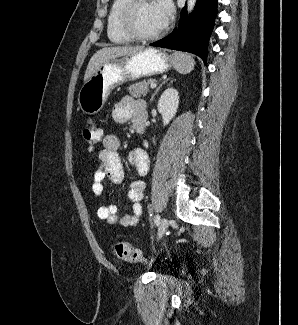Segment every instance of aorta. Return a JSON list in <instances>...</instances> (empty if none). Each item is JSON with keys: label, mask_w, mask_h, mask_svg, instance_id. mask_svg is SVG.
Here are the masks:
<instances>
[{"label": "aorta", "mask_w": 298, "mask_h": 325, "mask_svg": "<svg viewBox=\"0 0 298 325\" xmlns=\"http://www.w3.org/2000/svg\"><path fill=\"white\" fill-rule=\"evenodd\" d=\"M197 0H187V8H186V18L190 16L192 10H194L196 6Z\"/></svg>", "instance_id": "aorta-1"}]
</instances>
